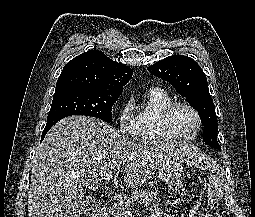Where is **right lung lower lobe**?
<instances>
[{"mask_svg":"<svg viewBox=\"0 0 255 217\" xmlns=\"http://www.w3.org/2000/svg\"><path fill=\"white\" fill-rule=\"evenodd\" d=\"M68 115H58L54 118H51L50 120H47V124L45 126V129L43 130L42 132V137H41V141L44 139L46 133L50 130V128L56 123L58 122L59 120L67 117Z\"/></svg>","mask_w":255,"mask_h":217,"instance_id":"1","label":"right lung lower lobe"}]
</instances>
